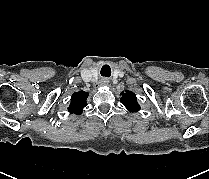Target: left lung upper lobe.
Returning a JSON list of instances; mask_svg holds the SVG:
<instances>
[{"label":"left lung upper lobe","instance_id":"5c2ea615","mask_svg":"<svg viewBox=\"0 0 209 179\" xmlns=\"http://www.w3.org/2000/svg\"><path fill=\"white\" fill-rule=\"evenodd\" d=\"M121 103L130 111L137 112L140 109V106L137 103L136 95L126 90L125 93H122Z\"/></svg>","mask_w":209,"mask_h":179}]
</instances>
